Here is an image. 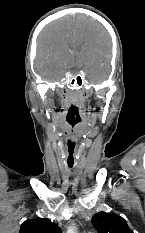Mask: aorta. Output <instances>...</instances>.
I'll list each match as a JSON object with an SVG mask.
<instances>
[{
	"label": "aorta",
	"mask_w": 145,
	"mask_h": 233,
	"mask_svg": "<svg viewBox=\"0 0 145 233\" xmlns=\"http://www.w3.org/2000/svg\"><path fill=\"white\" fill-rule=\"evenodd\" d=\"M68 233H76L74 226L68 229Z\"/></svg>",
	"instance_id": "obj_1"
}]
</instances>
